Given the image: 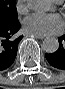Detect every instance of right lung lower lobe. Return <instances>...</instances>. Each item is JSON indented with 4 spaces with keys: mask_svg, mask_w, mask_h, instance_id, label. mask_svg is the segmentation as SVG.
I'll return each instance as SVG.
<instances>
[{
    "mask_svg": "<svg viewBox=\"0 0 65 89\" xmlns=\"http://www.w3.org/2000/svg\"><path fill=\"white\" fill-rule=\"evenodd\" d=\"M20 23L0 24V71L9 68L15 60L18 44L23 36H17Z\"/></svg>",
    "mask_w": 65,
    "mask_h": 89,
    "instance_id": "right-lung-lower-lobe-1",
    "label": "right lung lower lobe"
}]
</instances>
